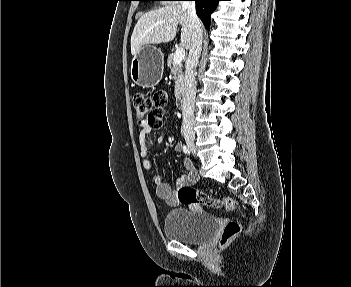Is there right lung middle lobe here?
Wrapping results in <instances>:
<instances>
[{"label": "right lung middle lobe", "mask_w": 351, "mask_h": 287, "mask_svg": "<svg viewBox=\"0 0 351 287\" xmlns=\"http://www.w3.org/2000/svg\"><path fill=\"white\" fill-rule=\"evenodd\" d=\"M139 1H159V0H139Z\"/></svg>", "instance_id": "obj_1"}]
</instances>
